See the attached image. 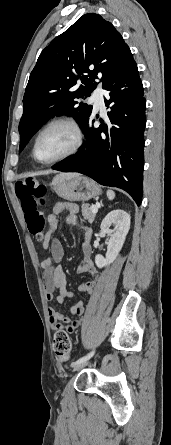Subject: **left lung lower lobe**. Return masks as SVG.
I'll list each match as a JSON object with an SVG mask.
<instances>
[{
  "instance_id": "0a47b994",
  "label": "left lung lower lobe",
  "mask_w": 171,
  "mask_h": 445,
  "mask_svg": "<svg viewBox=\"0 0 171 445\" xmlns=\"http://www.w3.org/2000/svg\"><path fill=\"white\" fill-rule=\"evenodd\" d=\"M103 89L108 120L98 128L94 120L82 131L86 143L53 169L79 172L98 183L128 192L139 206L143 191L145 99L136 63L116 73Z\"/></svg>"
}]
</instances>
